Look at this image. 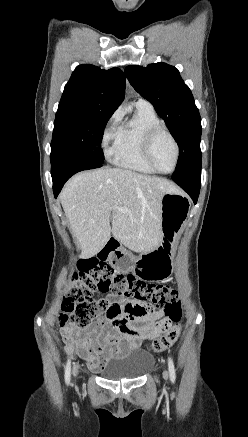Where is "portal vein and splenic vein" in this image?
Wrapping results in <instances>:
<instances>
[{
  "mask_svg": "<svg viewBox=\"0 0 248 437\" xmlns=\"http://www.w3.org/2000/svg\"><path fill=\"white\" fill-rule=\"evenodd\" d=\"M111 209H112V210H113V209H116V210H118V211H122V212L126 211L124 208H119V207H112Z\"/></svg>",
  "mask_w": 248,
  "mask_h": 437,
  "instance_id": "18ae733b",
  "label": "portal vein and splenic vein"
}]
</instances>
